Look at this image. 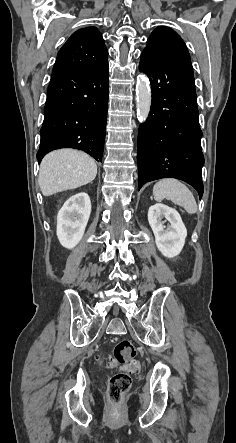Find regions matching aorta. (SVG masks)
Masks as SVG:
<instances>
[{
  "label": "aorta",
  "mask_w": 236,
  "mask_h": 443,
  "mask_svg": "<svg viewBox=\"0 0 236 443\" xmlns=\"http://www.w3.org/2000/svg\"><path fill=\"white\" fill-rule=\"evenodd\" d=\"M151 107V88L147 78L141 77L136 85V108L138 119L145 122Z\"/></svg>",
  "instance_id": "762f6f07"
}]
</instances>
